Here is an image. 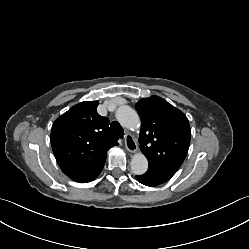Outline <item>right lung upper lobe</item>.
Listing matches in <instances>:
<instances>
[{
	"mask_svg": "<svg viewBox=\"0 0 249 249\" xmlns=\"http://www.w3.org/2000/svg\"><path fill=\"white\" fill-rule=\"evenodd\" d=\"M98 101H84L61 115L52 125L51 145L61 170L72 180L85 183L103 169L107 151L118 145L109 120L100 116Z\"/></svg>",
	"mask_w": 249,
	"mask_h": 249,
	"instance_id": "obj_1",
	"label": "right lung upper lobe"
}]
</instances>
